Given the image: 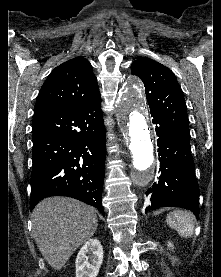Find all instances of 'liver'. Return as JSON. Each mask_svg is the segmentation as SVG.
<instances>
[{"label":"liver","mask_w":221,"mask_h":277,"mask_svg":"<svg viewBox=\"0 0 221 277\" xmlns=\"http://www.w3.org/2000/svg\"><path fill=\"white\" fill-rule=\"evenodd\" d=\"M35 242L48 264L60 270L97 230L96 210L78 200L49 197L32 213Z\"/></svg>","instance_id":"obj_1"}]
</instances>
